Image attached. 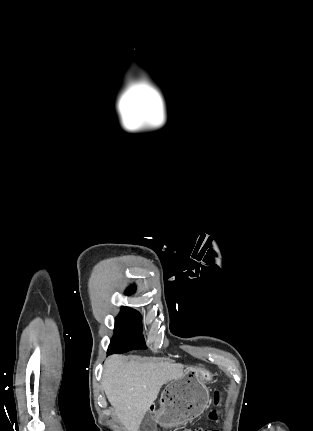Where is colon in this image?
Masks as SVG:
<instances>
[{
  "mask_svg": "<svg viewBox=\"0 0 313 431\" xmlns=\"http://www.w3.org/2000/svg\"><path fill=\"white\" fill-rule=\"evenodd\" d=\"M221 403H222V394H221V392L216 391L214 393V404H215V406H219V405H221ZM217 417H218V412L216 409H213L209 414V418L211 420H216ZM183 431H217V430H207V429H203L200 427H196V428H188V429H185Z\"/></svg>",
  "mask_w": 313,
  "mask_h": 431,
  "instance_id": "1",
  "label": "colon"
}]
</instances>
